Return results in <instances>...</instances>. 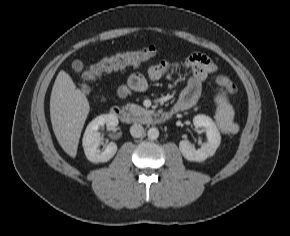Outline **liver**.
<instances>
[{"instance_id":"obj_1","label":"liver","mask_w":290,"mask_h":236,"mask_svg":"<svg viewBox=\"0 0 290 236\" xmlns=\"http://www.w3.org/2000/svg\"><path fill=\"white\" fill-rule=\"evenodd\" d=\"M89 110L85 94L76 88L69 74L61 70L51 92L50 118L58 143L72 158L76 157L81 131Z\"/></svg>"}]
</instances>
